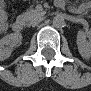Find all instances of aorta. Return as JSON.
Wrapping results in <instances>:
<instances>
[{
  "mask_svg": "<svg viewBox=\"0 0 91 91\" xmlns=\"http://www.w3.org/2000/svg\"><path fill=\"white\" fill-rule=\"evenodd\" d=\"M65 24V20L61 15H57L53 18V26L56 28H61Z\"/></svg>",
  "mask_w": 91,
  "mask_h": 91,
  "instance_id": "762f6f07",
  "label": "aorta"
}]
</instances>
